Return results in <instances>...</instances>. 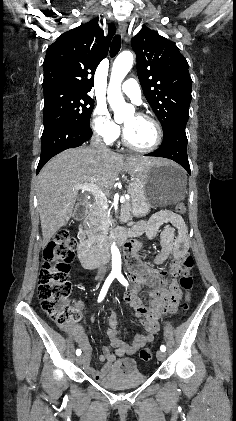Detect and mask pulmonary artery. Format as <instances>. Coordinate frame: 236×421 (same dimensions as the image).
<instances>
[{"label":"pulmonary artery","mask_w":236,"mask_h":421,"mask_svg":"<svg viewBox=\"0 0 236 421\" xmlns=\"http://www.w3.org/2000/svg\"><path fill=\"white\" fill-rule=\"evenodd\" d=\"M121 88L129 98L137 103L141 102V90L136 82L126 81L122 83Z\"/></svg>","instance_id":"1"}]
</instances>
